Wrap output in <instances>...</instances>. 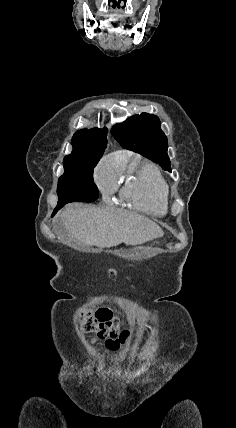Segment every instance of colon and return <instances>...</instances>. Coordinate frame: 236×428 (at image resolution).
<instances>
[{
    "mask_svg": "<svg viewBox=\"0 0 236 428\" xmlns=\"http://www.w3.org/2000/svg\"><path fill=\"white\" fill-rule=\"evenodd\" d=\"M119 320L108 309H100L95 315L84 312L81 326L85 332L96 333L99 339L105 340L108 347L114 348L126 340L128 331L119 333ZM119 337V340L116 338Z\"/></svg>",
    "mask_w": 236,
    "mask_h": 428,
    "instance_id": "1",
    "label": "colon"
}]
</instances>
